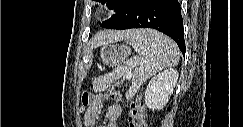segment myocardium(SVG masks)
<instances>
[{"instance_id": "1", "label": "myocardium", "mask_w": 243, "mask_h": 127, "mask_svg": "<svg viewBox=\"0 0 243 127\" xmlns=\"http://www.w3.org/2000/svg\"><path fill=\"white\" fill-rule=\"evenodd\" d=\"M107 13H108L107 8L98 7V8L93 10L92 15L95 19H101V18L105 17L107 15Z\"/></svg>"}]
</instances>
